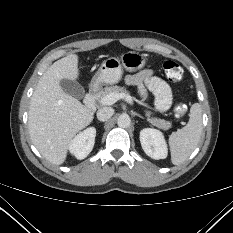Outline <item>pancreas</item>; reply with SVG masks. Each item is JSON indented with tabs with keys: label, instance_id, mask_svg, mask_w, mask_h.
<instances>
[{
	"label": "pancreas",
	"instance_id": "cf45deb5",
	"mask_svg": "<svg viewBox=\"0 0 233 233\" xmlns=\"http://www.w3.org/2000/svg\"><path fill=\"white\" fill-rule=\"evenodd\" d=\"M126 89L124 87H119V86H111V87H106L104 91L101 93V98L111 94V93H123L125 92ZM150 112H146L147 120L154 126L163 129V130H168L171 128V123L169 121L159 119V118H153L150 117Z\"/></svg>",
	"mask_w": 233,
	"mask_h": 233
}]
</instances>
